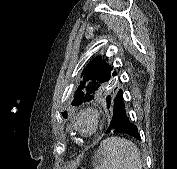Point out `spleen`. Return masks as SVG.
I'll use <instances>...</instances> for the list:
<instances>
[{
    "instance_id": "spleen-1",
    "label": "spleen",
    "mask_w": 177,
    "mask_h": 169,
    "mask_svg": "<svg viewBox=\"0 0 177 169\" xmlns=\"http://www.w3.org/2000/svg\"><path fill=\"white\" fill-rule=\"evenodd\" d=\"M94 169H142L138 147L121 137L103 140L95 153Z\"/></svg>"
}]
</instances>
